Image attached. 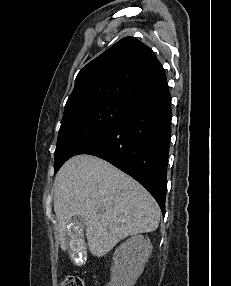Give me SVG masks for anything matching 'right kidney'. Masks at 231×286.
Returning <instances> with one entry per match:
<instances>
[{"instance_id": "ca27d5eb", "label": "right kidney", "mask_w": 231, "mask_h": 286, "mask_svg": "<svg viewBox=\"0 0 231 286\" xmlns=\"http://www.w3.org/2000/svg\"><path fill=\"white\" fill-rule=\"evenodd\" d=\"M152 252L150 239L136 235L116 248L108 286H133Z\"/></svg>"}]
</instances>
